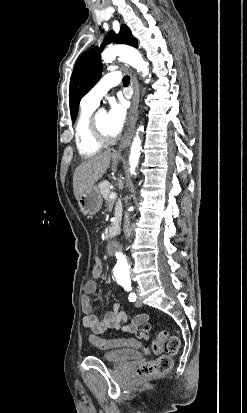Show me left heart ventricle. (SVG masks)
I'll return each mask as SVG.
<instances>
[{
	"mask_svg": "<svg viewBox=\"0 0 247 413\" xmlns=\"http://www.w3.org/2000/svg\"><path fill=\"white\" fill-rule=\"evenodd\" d=\"M97 120L99 121V123H100L101 125H105V116H104V115L99 116ZM105 126H106V125H105ZM101 129H102V132H103V134H104L105 136H107V137H113V136L111 135V133L109 132L107 126H106V128H101Z\"/></svg>",
	"mask_w": 247,
	"mask_h": 413,
	"instance_id": "obj_1",
	"label": "left heart ventricle"
}]
</instances>
